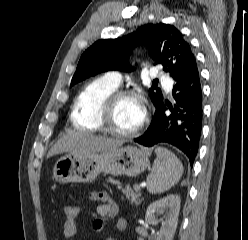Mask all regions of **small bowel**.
<instances>
[{
  "instance_id": "1",
  "label": "small bowel",
  "mask_w": 248,
  "mask_h": 240,
  "mask_svg": "<svg viewBox=\"0 0 248 240\" xmlns=\"http://www.w3.org/2000/svg\"><path fill=\"white\" fill-rule=\"evenodd\" d=\"M89 198L92 201L100 203V205L96 209L95 219L92 222V229L95 233H101L105 222L116 215L118 210L117 204L113 200V198L106 192H92L89 195ZM118 227L122 231L126 230V220L120 218L118 220ZM62 232L66 240H72L77 232L76 218L67 220L65 219Z\"/></svg>"
}]
</instances>
